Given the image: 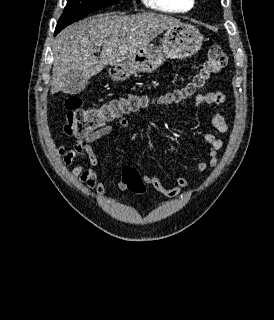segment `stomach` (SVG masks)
Instances as JSON below:
<instances>
[{
    "label": "stomach",
    "mask_w": 274,
    "mask_h": 320,
    "mask_svg": "<svg viewBox=\"0 0 274 320\" xmlns=\"http://www.w3.org/2000/svg\"><path fill=\"white\" fill-rule=\"evenodd\" d=\"M203 42V36L198 28L191 24H178L174 28H168L160 46H147L144 50H138L133 58H128L121 64H113L109 70L112 80H122L130 74L141 72H154L165 60H184L199 52Z\"/></svg>",
    "instance_id": "0dacf381"
}]
</instances>
